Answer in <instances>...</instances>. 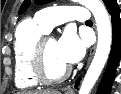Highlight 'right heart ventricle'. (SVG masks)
<instances>
[{
    "instance_id": "obj_1",
    "label": "right heart ventricle",
    "mask_w": 121,
    "mask_h": 94,
    "mask_svg": "<svg viewBox=\"0 0 121 94\" xmlns=\"http://www.w3.org/2000/svg\"><path fill=\"white\" fill-rule=\"evenodd\" d=\"M47 32L36 19L25 20L18 26L13 48L18 88L26 90L39 86L40 82L32 71V55L35 44Z\"/></svg>"
}]
</instances>
